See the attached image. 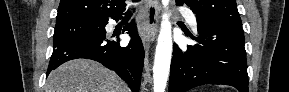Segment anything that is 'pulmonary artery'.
<instances>
[{
  "instance_id": "e3ab8cb5",
  "label": "pulmonary artery",
  "mask_w": 289,
  "mask_h": 92,
  "mask_svg": "<svg viewBox=\"0 0 289 92\" xmlns=\"http://www.w3.org/2000/svg\"><path fill=\"white\" fill-rule=\"evenodd\" d=\"M182 14L185 15L189 25L193 28L196 29L197 28V20L195 15L188 9H181L180 10Z\"/></svg>"
}]
</instances>
